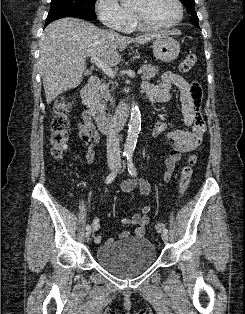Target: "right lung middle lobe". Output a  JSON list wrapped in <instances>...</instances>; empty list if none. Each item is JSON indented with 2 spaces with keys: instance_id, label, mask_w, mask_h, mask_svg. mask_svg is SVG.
<instances>
[{
  "instance_id": "dd1d6c3e",
  "label": "right lung middle lobe",
  "mask_w": 245,
  "mask_h": 314,
  "mask_svg": "<svg viewBox=\"0 0 245 314\" xmlns=\"http://www.w3.org/2000/svg\"><path fill=\"white\" fill-rule=\"evenodd\" d=\"M95 2L96 0H52L48 14L79 12L96 16Z\"/></svg>"
}]
</instances>
